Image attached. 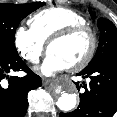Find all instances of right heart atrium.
<instances>
[{
    "mask_svg": "<svg viewBox=\"0 0 117 117\" xmlns=\"http://www.w3.org/2000/svg\"><path fill=\"white\" fill-rule=\"evenodd\" d=\"M14 45L20 56L31 64H36L45 51V43L24 26L15 30Z\"/></svg>",
    "mask_w": 117,
    "mask_h": 117,
    "instance_id": "d8ad5b80",
    "label": "right heart atrium"
}]
</instances>
